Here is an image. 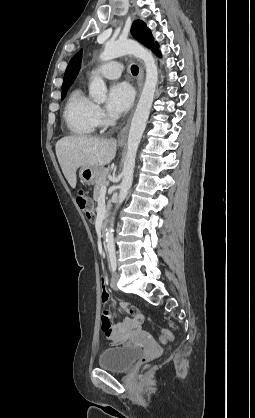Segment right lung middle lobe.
<instances>
[{
  "instance_id": "1",
  "label": "right lung middle lobe",
  "mask_w": 255,
  "mask_h": 418,
  "mask_svg": "<svg viewBox=\"0 0 255 418\" xmlns=\"http://www.w3.org/2000/svg\"><path fill=\"white\" fill-rule=\"evenodd\" d=\"M67 90H68V89H65V90H63V91H62V97H61V99H62V100H63V98L65 97Z\"/></svg>"
}]
</instances>
